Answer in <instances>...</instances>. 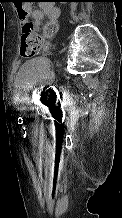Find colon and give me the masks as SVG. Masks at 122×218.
<instances>
[{
    "instance_id": "obj_1",
    "label": "colon",
    "mask_w": 122,
    "mask_h": 218,
    "mask_svg": "<svg viewBox=\"0 0 122 218\" xmlns=\"http://www.w3.org/2000/svg\"><path fill=\"white\" fill-rule=\"evenodd\" d=\"M25 22L22 27V36L20 43V54L22 57L29 58L37 54L44 45L47 39L53 37L57 30V25L54 22L48 23L41 34L34 31L33 24L26 20V13L22 12Z\"/></svg>"
}]
</instances>
